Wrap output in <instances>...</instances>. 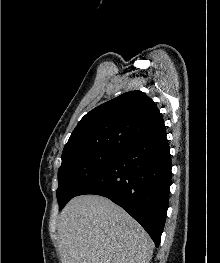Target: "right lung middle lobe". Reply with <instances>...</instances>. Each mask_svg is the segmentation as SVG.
<instances>
[{
    "label": "right lung middle lobe",
    "instance_id": "obj_1",
    "mask_svg": "<svg viewBox=\"0 0 220 263\" xmlns=\"http://www.w3.org/2000/svg\"><path fill=\"white\" fill-rule=\"evenodd\" d=\"M122 153L121 149L91 148L62 154V165L58 170L59 210L87 183L118 160Z\"/></svg>",
    "mask_w": 220,
    "mask_h": 263
}]
</instances>
